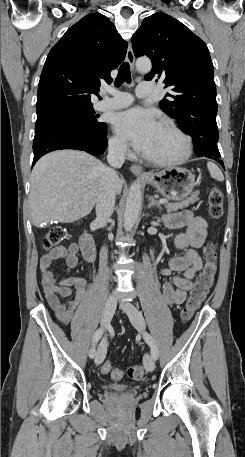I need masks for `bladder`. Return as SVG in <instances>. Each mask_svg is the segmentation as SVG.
I'll return each mask as SVG.
<instances>
[{
	"mask_svg": "<svg viewBox=\"0 0 245 457\" xmlns=\"http://www.w3.org/2000/svg\"><path fill=\"white\" fill-rule=\"evenodd\" d=\"M114 389L126 390L127 386H125V385H116V386H114Z\"/></svg>",
	"mask_w": 245,
	"mask_h": 457,
	"instance_id": "obj_1",
	"label": "bladder"
}]
</instances>
